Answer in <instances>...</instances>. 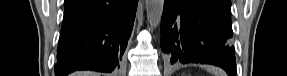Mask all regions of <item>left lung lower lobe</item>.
<instances>
[{
    "label": "left lung lower lobe",
    "instance_id": "obj_1",
    "mask_svg": "<svg viewBox=\"0 0 287 76\" xmlns=\"http://www.w3.org/2000/svg\"><path fill=\"white\" fill-rule=\"evenodd\" d=\"M161 49L174 63H210L236 75L229 15L208 0H165Z\"/></svg>",
    "mask_w": 287,
    "mask_h": 76
}]
</instances>
